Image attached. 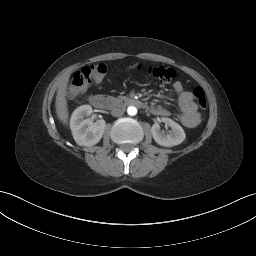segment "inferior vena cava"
<instances>
[{
  "label": "inferior vena cava",
  "mask_w": 256,
  "mask_h": 256,
  "mask_svg": "<svg viewBox=\"0 0 256 256\" xmlns=\"http://www.w3.org/2000/svg\"><path fill=\"white\" fill-rule=\"evenodd\" d=\"M124 114V110H122L121 108H113L111 111V115L114 117H119L122 116Z\"/></svg>",
  "instance_id": "602c4592"
}]
</instances>
